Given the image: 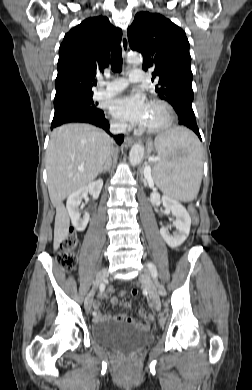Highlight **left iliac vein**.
Masks as SVG:
<instances>
[{
    "label": "left iliac vein",
    "mask_w": 252,
    "mask_h": 390,
    "mask_svg": "<svg viewBox=\"0 0 252 390\" xmlns=\"http://www.w3.org/2000/svg\"><path fill=\"white\" fill-rule=\"evenodd\" d=\"M142 284L147 289L150 299L152 301L153 307L158 311L161 309V302L159 298V292H164V287L153 281L148 270H145L142 275L139 277Z\"/></svg>",
    "instance_id": "1"
}]
</instances>
